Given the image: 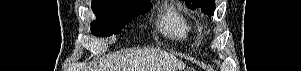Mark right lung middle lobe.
<instances>
[{"label": "right lung middle lobe", "mask_w": 301, "mask_h": 71, "mask_svg": "<svg viewBox=\"0 0 301 71\" xmlns=\"http://www.w3.org/2000/svg\"><path fill=\"white\" fill-rule=\"evenodd\" d=\"M152 8L151 3L121 0H93L97 20L91 22V33L99 37L117 34L132 19Z\"/></svg>", "instance_id": "1"}]
</instances>
